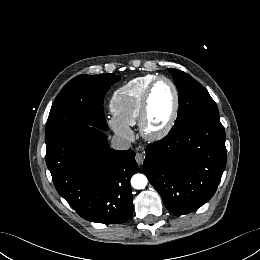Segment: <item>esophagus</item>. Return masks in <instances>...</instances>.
I'll list each match as a JSON object with an SVG mask.
<instances>
[{
  "instance_id": "esophagus-1",
  "label": "esophagus",
  "mask_w": 260,
  "mask_h": 260,
  "mask_svg": "<svg viewBox=\"0 0 260 260\" xmlns=\"http://www.w3.org/2000/svg\"><path fill=\"white\" fill-rule=\"evenodd\" d=\"M135 160L137 162L138 165H142L143 164V161H144V156L142 153L140 152H137L136 155H135Z\"/></svg>"
}]
</instances>
